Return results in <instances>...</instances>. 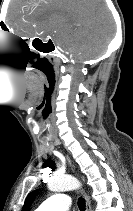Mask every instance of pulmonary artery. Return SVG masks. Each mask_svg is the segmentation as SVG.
<instances>
[{"label":"pulmonary artery","mask_w":133,"mask_h":211,"mask_svg":"<svg viewBox=\"0 0 133 211\" xmlns=\"http://www.w3.org/2000/svg\"><path fill=\"white\" fill-rule=\"evenodd\" d=\"M71 205L70 197L57 193L46 199L35 211H68Z\"/></svg>","instance_id":"obj_1"}]
</instances>
